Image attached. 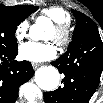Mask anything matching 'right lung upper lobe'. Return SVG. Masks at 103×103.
Segmentation results:
<instances>
[{
    "mask_svg": "<svg viewBox=\"0 0 103 103\" xmlns=\"http://www.w3.org/2000/svg\"><path fill=\"white\" fill-rule=\"evenodd\" d=\"M7 9L13 13H23L27 11V5L26 6H5Z\"/></svg>",
    "mask_w": 103,
    "mask_h": 103,
    "instance_id": "cb5924a9",
    "label": "right lung upper lobe"
}]
</instances>
